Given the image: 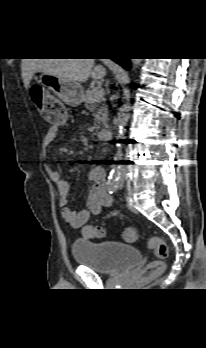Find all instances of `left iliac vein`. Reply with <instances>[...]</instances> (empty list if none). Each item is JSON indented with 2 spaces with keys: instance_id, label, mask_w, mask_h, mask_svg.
Wrapping results in <instances>:
<instances>
[{
  "instance_id": "4c4485c4",
  "label": "left iliac vein",
  "mask_w": 206,
  "mask_h": 348,
  "mask_svg": "<svg viewBox=\"0 0 206 348\" xmlns=\"http://www.w3.org/2000/svg\"><path fill=\"white\" fill-rule=\"evenodd\" d=\"M123 184H124V179H121L118 183H117V186L119 189H121L123 187Z\"/></svg>"
}]
</instances>
